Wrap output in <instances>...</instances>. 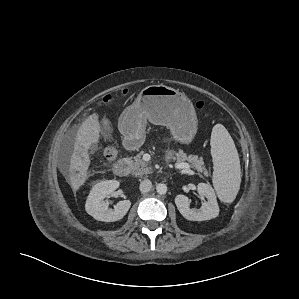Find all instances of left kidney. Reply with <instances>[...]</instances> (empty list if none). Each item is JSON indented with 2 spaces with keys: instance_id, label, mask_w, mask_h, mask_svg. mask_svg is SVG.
Returning <instances> with one entry per match:
<instances>
[{
  "instance_id": "5707ae66",
  "label": "left kidney",
  "mask_w": 299,
  "mask_h": 299,
  "mask_svg": "<svg viewBox=\"0 0 299 299\" xmlns=\"http://www.w3.org/2000/svg\"><path fill=\"white\" fill-rule=\"evenodd\" d=\"M197 191L207 199L206 202L202 203L199 211L190 209V199L187 196L180 194L175 197V204L181 215L191 221H204L216 218L219 215V206L214 189L209 184L199 183Z\"/></svg>"
}]
</instances>
